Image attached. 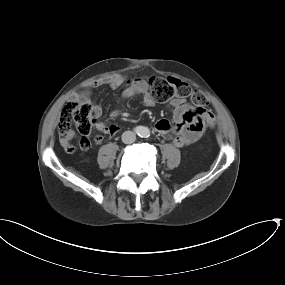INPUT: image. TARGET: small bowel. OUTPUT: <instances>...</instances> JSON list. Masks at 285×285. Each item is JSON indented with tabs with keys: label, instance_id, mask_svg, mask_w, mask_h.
Segmentation results:
<instances>
[{
	"label": "small bowel",
	"instance_id": "small-bowel-1",
	"mask_svg": "<svg viewBox=\"0 0 285 285\" xmlns=\"http://www.w3.org/2000/svg\"><path fill=\"white\" fill-rule=\"evenodd\" d=\"M124 83L121 75H109L97 78L86 84L85 88L76 91L71 100H87L90 101L92 93L95 89L109 85L113 89H118ZM123 98L130 99L136 96L141 97L142 104L146 107L155 106V100L149 92V85L144 78H135L131 84L123 91ZM171 106L174 109L173 122L166 118L158 119L155 123L156 130L165 136L174 146L178 148L187 147L196 142L203 134L205 123L211 116V112L205 108H196L188 101L181 98L172 100ZM122 113V109H116L111 116L116 117ZM102 108L100 105L93 107V128L108 136H114L120 131L118 124H107L100 120ZM184 131L183 134L181 132ZM80 149L87 151L91 147L88 139H82L79 143ZM68 153L73 154L78 151V146L68 144L65 146Z\"/></svg>",
	"mask_w": 285,
	"mask_h": 285
}]
</instances>
